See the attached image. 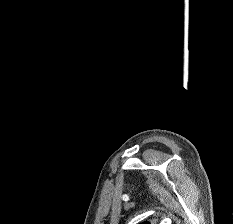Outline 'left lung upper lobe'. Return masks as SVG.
Here are the masks:
<instances>
[{
    "mask_svg": "<svg viewBox=\"0 0 233 224\" xmlns=\"http://www.w3.org/2000/svg\"><path fill=\"white\" fill-rule=\"evenodd\" d=\"M141 224H150L149 222H143V223H141Z\"/></svg>",
    "mask_w": 233,
    "mask_h": 224,
    "instance_id": "obj_1",
    "label": "left lung upper lobe"
}]
</instances>
